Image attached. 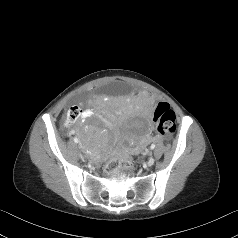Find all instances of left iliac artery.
<instances>
[{
  "instance_id": "1",
  "label": "left iliac artery",
  "mask_w": 238,
  "mask_h": 238,
  "mask_svg": "<svg viewBox=\"0 0 238 238\" xmlns=\"http://www.w3.org/2000/svg\"><path fill=\"white\" fill-rule=\"evenodd\" d=\"M155 144H152L151 146H150V148L153 150L154 148H155Z\"/></svg>"
}]
</instances>
